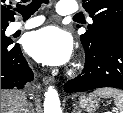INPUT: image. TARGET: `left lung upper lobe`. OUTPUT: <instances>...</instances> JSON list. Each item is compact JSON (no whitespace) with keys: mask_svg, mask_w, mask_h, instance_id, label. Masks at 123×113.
I'll return each instance as SVG.
<instances>
[{"mask_svg":"<svg viewBox=\"0 0 123 113\" xmlns=\"http://www.w3.org/2000/svg\"><path fill=\"white\" fill-rule=\"evenodd\" d=\"M93 24L80 36L85 47H95L108 33H123V0H83Z\"/></svg>","mask_w":123,"mask_h":113,"instance_id":"5c2ea615","label":"left lung upper lobe"}]
</instances>
